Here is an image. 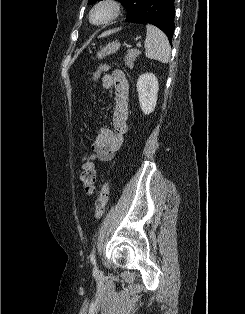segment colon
Segmentation results:
<instances>
[{
    "label": "colon",
    "mask_w": 245,
    "mask_h": 314,
    "mask_svg": "<svg viewBox=\"0 0 245 314\" xmlns=\"http://www.w3.org/2000/svg\"><path fill=\"white\" fill-rule=\"evenodd\" d=\"M107 64H102L98 70L90 78L91 83L98 81L100 74L108 70ZM94 100V95H92V101ZM93 156H85L84 162L81 171V182L84 188V191L87 194H91L94 191L96 184V168L93 162ZM109 199V185L105 182L101 188L99 198L96 202L95 216L96 218H101L104 214L105 207Z\"/></svg>",
    "instance_id": "obj_1"
}]
</instances>
